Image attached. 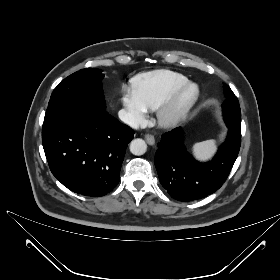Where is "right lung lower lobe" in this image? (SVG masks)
Instances as JSON below:
<instances>
[{"label":"right lung lower lobe","instance_id":"obj_1","mask_svg":"<svg viewBox=\"0 0 280 280\" xmlns=\"http://www.w3.org/2000/svg\"><path fill=\"white\" fill-rule=\"evenodd\" d=\"M134 131L106 110L65 109L44 118L42 143L53 175L71 191L92 197L110 193Z\"/></svg>","mask_w":280,"mask_h":280}]
</instances>
